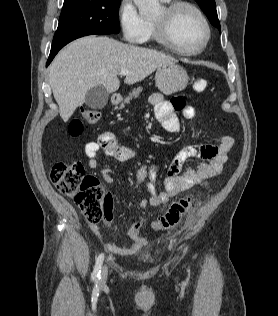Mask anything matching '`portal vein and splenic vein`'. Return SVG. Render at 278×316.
Instances as JSON below:
<instances>
[{
  "mask_svg": "<svg viewBox=\"0 0 278 316\" xmlns=\"http://www.w3.org/2000/svg\"><path fill=\"white\" fill-rule=\"evenodd\" d=\"M128 73H129L128 70H121V71H120V75H122V76H125V75H127Z\"/></svg>",
  "mask_w": 278,
  "mask_h": 316,
  "instance_id": "18ae733b",
  "label": "portal vein and splenic vein"
}]
</instances>
